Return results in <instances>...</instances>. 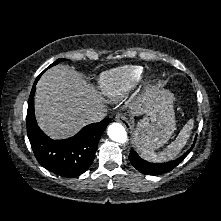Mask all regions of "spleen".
<instances>
[{
	"label": "spleen",
	"instance_id": "spleen-1",
	"mask_svg": "<svg viewBox=\"0 0 221 221\" xmlns=\"http://www.w3.org/2000/svg\"><path fill=\"white\" fill-rule=\"evenodd\" d=\"M194 122L190 119L182 128L176 139L171 142L163 151L155 153L151 150L141 151V156L150 162H164L176 157L181 149L186 145L193 129Z\"/></svg>",
	"mask_w": 221,
	"mask_h": 221
}]
</instances>
